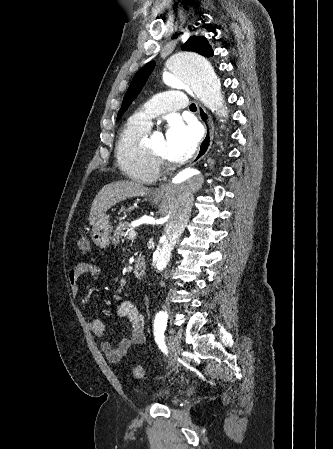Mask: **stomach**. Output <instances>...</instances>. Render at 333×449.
Instances as JSON below:
<instances>
[{
  "instance_id": "0dacf381",
  "label": "stomach",
  "mask_w": 333,
  "mask_h": 449,
  "mask_svg": "<svg viewBox=\"0 0 333 449\" xmlns=\"http://www.w3.org/2000/svg\"><path fill=\"white\" fill-rule=\"evenodd\" d=\"M161 198H152L153 203H157ZM111 227L109 216L105 213L99 217L92 225L91 237L93 242L100 248H105L110 243Z\"/></svg>"
}]
</instances>
